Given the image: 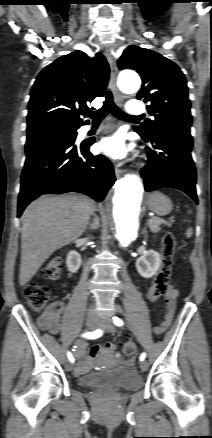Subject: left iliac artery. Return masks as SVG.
I'll return each instance as SVG.
<instances>
[{"instance_id":"1","label":"left iliac artery","mask_w":212,"mask_h":438,"mask_svg":"<svg viewBox=\"0 0 212 438\" xmlns=\"http://www.w3.org/2000/svg\"><path fill=\"white\" fill-rule=\"evenodd\" d=\"M113 323H114L116 326H122V325L124 324L123 321H122L120 318H118V317H113ZM145 358H146V353L143 352V353L140 355L139 359H140V361H143Z\"/></svg>"}]
</instances>
